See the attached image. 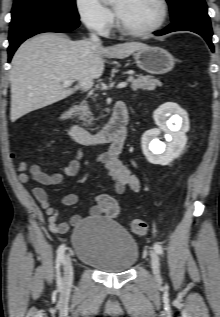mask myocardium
Returning <instances> with one entry per match:
<instances>
[{
  "mask_svg": "<svg viewBox=\"0 0 220 317\" xmlns=\"http://www.w3.org/2000/svg\"><path fill=\"white\" fill-rule=\"evenodd\" d=\"M158 3L161 7V14H160L158 21L154 25H152L148 28H145V29H139V30L131 29V28L124 26L121 23V21L119 20V18L116 16V19H115L116 28L122 34L127 35V36H131V37H140V36H146V35H150V34L155 33L165 24L167 17H168V13H169V5H168L167 0H158Z\"/></svg>",
  "mask_w": 220,
  "mask_h": 317,
  "instance_id": "obj_1",
  "label": "myocardium"
}]
</instances>
